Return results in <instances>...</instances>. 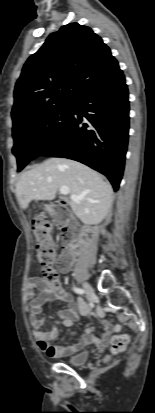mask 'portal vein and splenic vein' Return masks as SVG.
I'll use <instances>...</instances> for the list:
<instances>
[{
  "mask_svg": "<svg viewBox=\"0 0 155 413\" xmlns=\"http://www.w3.org/2000/svg\"><path fill=\"white\" fill-rule=\"evenodd\" d=\"M59 191L62 195H67V194L70 193V190L67 186H61ZM80 198H81V196H77L76 194H71V199L72 200H79Z\"/></svg>",
  "mask_w": 155,
  "mask_h": 413,
  "instance_id": "obj_1",
  "label": "portal vein and splenic vein"
}]
</instances>
